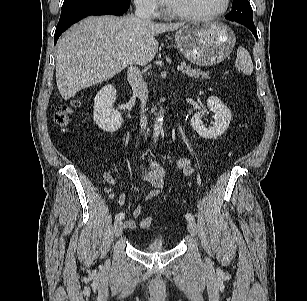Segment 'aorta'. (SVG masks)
<instances>
[{
    "mask_svg": "<svg viewBox=\"0 0 307 301\" xmlns=\"http://www.w3.org/2000/svg\"><path fill=\"white\" fill-rule=\"evenodd\" d=\"M164 110L160 109L155 122H154V126H153V141L154 143L157 142L158 137L161 133L162 127H163V122H164V116H163Z\"/></svg>",
    "mask_w": 307,
    "mask_h": 301,
    "instance_id": "762f6f07",
    "label": "aorta"
}]
</instances>
